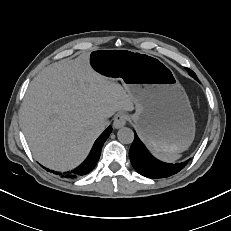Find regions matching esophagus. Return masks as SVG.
I'll list each match as a JSON object with an SVG mask.
<instances>
[{
	"label": "esophagus",
	"instance_id": "esophagus-1",
	"mask_svg": "<svg viewBox=\"0 0 231 231\" xmlns=\"http://www.w3.org/2000/svg\"><path fill=\"white\" fill-rule=\"evenodd\" d=\"M127 120L128 116L124 113H120L114 118L113 127L115 129L121 128L127 123Z\"/></svg>",
	"mask_w": 231,
	"mask_h": 231
}]
</instances>
